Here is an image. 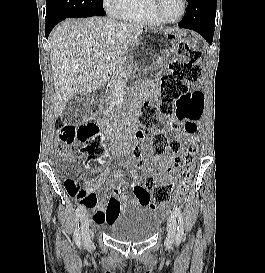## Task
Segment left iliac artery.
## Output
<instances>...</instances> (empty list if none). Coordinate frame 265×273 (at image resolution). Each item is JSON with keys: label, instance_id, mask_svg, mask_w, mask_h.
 Wrapping results in <instances>:
<instances>
[{"label": "left iliac artery", "instance_id": "44dca946", "mask_svg": "<svg viewBox=\"0 0 265 273\" xmlns=\"http://www.w3.org/2000/svg\"><path fill=\"white\" fill-rule=\"evenodd\" d=\"M173 212H174L175 216L178 218L179 226L177 227L176 243H177V245H179L182 238H183V235H184V226H183L184 220H183L182 212L179 207L174 206Z\"/></svg>", "mask_w": 265, "mask_h": 273}]
</instances>
